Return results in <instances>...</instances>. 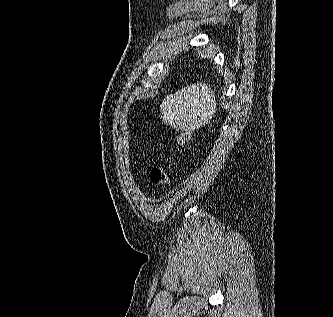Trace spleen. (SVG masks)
<instances>
[{
  "label": "spleen",
  "mask_w": 333,
  "mask_h": 317,
  "mask_svg": "<svg viewBox=\"0 0 333 317\" xmlns=\"http://www.w3.org/2000/svg\"><path fill=\"white\" fill-rule=\"evenodd\" d=\"M160 111L166 124L181 131H194L210 122L216 113L215 92L205 83L187 85L167 95Z\"/></svg>",
  "instance_id": "1"
}]
</instances>
